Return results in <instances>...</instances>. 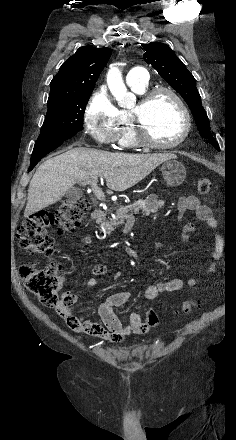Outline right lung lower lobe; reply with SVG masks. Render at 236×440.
Instances as JSON below:
<instances>
[{"label":"right lung lower lobe","instance_id":"right-lung-lower-lobe-1","mask_svg":"<svg viewBox=\"0 0 236 440\" xmlns=\"http://www.w3.org/2000/svg\"><path fill=\"white\" fill-rule=\"evenodd\" d=\"M72 136L60 137L54 139L37 140L34 145L33 153L31 156V163L28 172L31 171L35 165L49 152L59 147L65 140Z\"/></svg>","mask_w":236,"mask_h":440}]
</instances>
